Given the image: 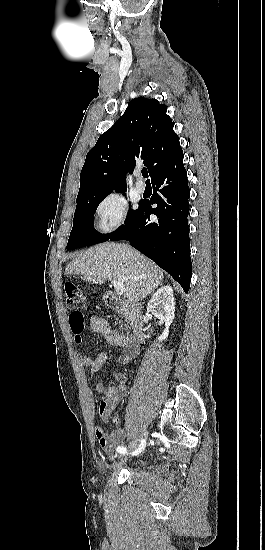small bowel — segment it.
<instances>
[{"mask_svg":"<svg viewBox=\"0 0 265 550\" xmlns=\"http://www.w3.org/2000/svg\"><path fill=\"white\" fill-rule=\"evenodd\" d=\"M90 331L94 334L102 335L106 339V341H108L111 345L124 347L125 354L123 357L119 358L118 361L130 359L134 357L137 353V348L134 347L132 344V338L126 334H123L116 330L111 329L108 326L107 322L102 318L95 317V316L91 318ZM82 334H83V331L79 334L78 337L81 338ZM108 359H109V353L102 352L95 358L84 357L82 359V364L85 368L89 369L93 374H96L102 369L104 363ZM103 389H104L103 384L99 381H95L94 389L90 390L89 392V399L92 403L94 402L95 391L102 392ZM99 414L103 420L107 419L108 412L106 410H103L101 405H100ZM94 434L101 448L107 452V451H110V449L114 445L124 441L125 427L124 425H120L116 429H113L107 433L104 431L102 427L96 426L94 428Z\"/></svg>","mask_w":265,"mask_h":550,"instance_id":"1","label":"small bowel"}]
</instances>
